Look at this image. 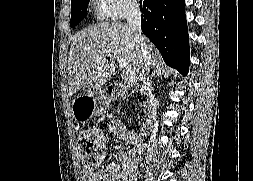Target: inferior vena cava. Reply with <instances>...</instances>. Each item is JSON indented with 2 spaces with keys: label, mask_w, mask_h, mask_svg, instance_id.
Listing matches in <instances>:
<instances>
[{
  "label": "inferior vena cava",
  "mask_w": 253,
  "mask_h": 181,
  "mask_svg": "<svg viewBox=\"0 0 253 181\" xmlns=\"http://www.w3.org/2000/svg\"><path fill=\"white\" fill-rule=\"evenodd\" d=\"M126 19H127L128 25L132 28V30L135 33L136 42L140 46V49L143 55V61L145 63L147 70L149 71V67L151 64V56L148 52L147 43L141 31V12H140L139 5L136 2H131L127 6ZM144 88L148 91L150 95V108H151L152 115L155 116L156 115V101L152 97V87H151V82L149 81V73L147 77V82L144 81Z\"/></svg>",
  "instance_id": "602c4592"
}]
</instances>
